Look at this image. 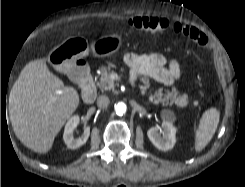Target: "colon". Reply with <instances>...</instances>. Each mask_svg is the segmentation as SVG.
Returning <instances> with one entry per match:
<instances>
[{"instance_id": "1", "label": "colon", "mask_w": 245, "mask_h": 187, "mask_svg": "<svg viewBox=\"0 0 245 187\" xmlns=\"http://www.w3.org/2000/svg\"><path fill=\"white\" fill-rule=\"evenodd\" d=\"M128 26L137 31L150 32L153 34L172 31L201 47H207L209 44L207 36L197 28L179 23H171L164 18L150 16L133 17L128 20Z\"/></svg>"}]
</instances>
